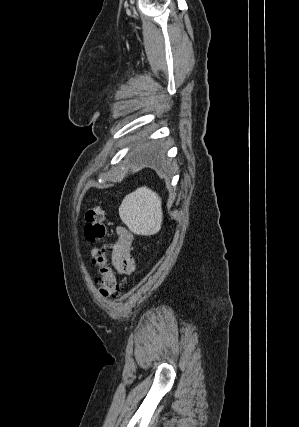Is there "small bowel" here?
I'll use <instances>...</instances> for the list:
<instances>
[{"label": "small bowel", "mask_w": 299, "mask_h": 427, "mask_svg": "<svg viewBox=\"0 0 299 427\" xmlns=\"http://www.w3.org/2000/svg\"><path fill=\"white\" fill-rule=\"evenodd\" d=\"M118 240L114 245L111 253V260L114 267L123 274H130L133 272L135 267L134 258L131 255L132 245L134 241V235L130 230L124 226H118L116 228ZM99 254L106 257V247L91 249V257L94 259Z\"/></svg>", "instance_id": "1"}]
</instances>
